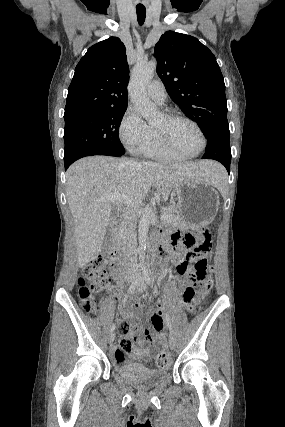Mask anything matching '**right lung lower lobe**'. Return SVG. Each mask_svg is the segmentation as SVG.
<instances>
[{
    "label": "right lung lower lobe",
    "instance_id": "1",
    "mask_svg": "<svg viewBox=\"0 0 285 427\" xmlns=\"http://www.w3.org/2000/svg\"><path fill=\"white\" fill-rule=\"evenodd\" d=\"M69 167V165H65V170Z\"/></svg>",
    "mask_w": 285,
    "mask_h": 427
}]
</instances>
